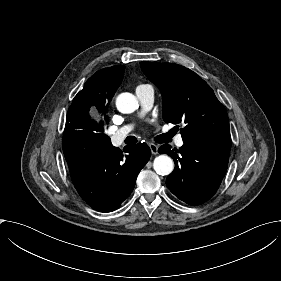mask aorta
<instances>
[{"label":"aorta","mask_w":281,"mask_h":281,"mask_svg":"<svg viewBox=\"0 0 281 281\" xmlns=\"http://www.w3.org/2000/svg\"><path fill=\"white\" fill-rule=\"evenodd\" d=\"M138 106L136 96L128 92L121 93L116 99L117 109L124 114L134 112ZM153 168L159 175H169L174 169V163L171 157L162 154L154 159Z\"/></svg>","instance_id":"obj_1"}]
</instances>
